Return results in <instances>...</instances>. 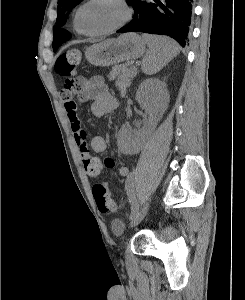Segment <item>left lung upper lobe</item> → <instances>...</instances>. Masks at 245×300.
Instances as JSON below:
<instances>
[{"label":"left lung upper lobe","mask_w":245,"mask_h":300,"mask_svg":"<svg viewBox=\"0 0 245 300\" xmlns=\"http://www.w3.org/2000/svg\"><path fill=\"white\" fill-rule=\"evenodd\" d=\"M82 0H58V7H57V13L58 17L56 20V24L58 26L64 25V17H65V12L67 10H71L74 8L76 5H78ZM134 0H127L126 2L129 5L133 4ZM68 14V13H67ZM58 26H54L53 28V50L56 51L57 48L66 40L70 39L71 34L65 30L62 29Z\"/></svg>","instance_id":"1"}]
</instances>
